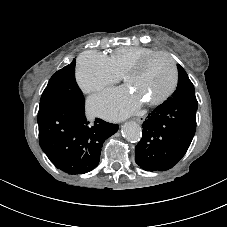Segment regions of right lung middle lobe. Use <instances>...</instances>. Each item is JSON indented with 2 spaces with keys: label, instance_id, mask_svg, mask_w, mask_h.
I'll return each mask as SVG.
<instances>
[{
  "label": "right lung middle lobe",
  "instance_id": "1",
  "mask_svg": "<svg viewBox=\"0 0 227 227\" xmlns=\"http://www.w3.org/2000/svg\"><path fill=\"white\" fill-rule=\"evenodd\" d=\"M70 102L84 103L75 81V60L52 75L41 96L39 110Z\"/></svg>",
  "mask_w": 227,
  "mask_h": 227
}]
</instances>
